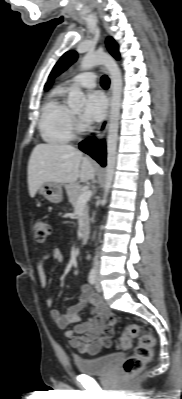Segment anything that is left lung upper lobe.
<instances>
[{"label": "left lung upper lobe", "mask_w": 182, "mask_h": 399, "mask_svg": "<svg viewBox=\"0 0 182 399\" xmlns=\"http://www.w3.org/2000/svg\"><path fill=\"white\" fill-rule=\"evenodd\" d=\"M106 46L109 50V52L116 58L120 59V54L118 51V45L117 43L113 40L112 37H108L106 40ZM77 59V53L75 51H68L66 52L60 60L56 63L54 66L49 79H52L53 77L59 75L63 71H65L73 62H75Z\"/></svg>", "instance_id": "1"}]
</instances>
